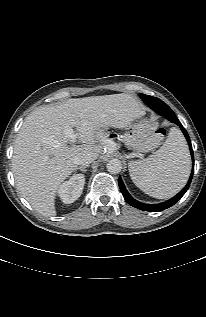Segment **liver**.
Returning a JSON list of instances; mask_svg holds the SVG:
<instances>
[{"mask_svg": "<svg viewBox=\"0 0 206 317\" xmlns=\"http://www.w3.org/2000/svg\"><path fill=\"white\" fill-rule=\"evenodd\" d=\"M144 115L141 104L125 93L38 107L25 118L14 144L12 171L18 191L37 212L55 216L56 192L77 169L76 158L101 151L98 131L126 128ZM69 127L76 129L81 145H67Z\"/></svg>", "mask_w": 206, "mask_h": 317, "instance_id": "liver-1", "label": "liver"}]
</instances>
